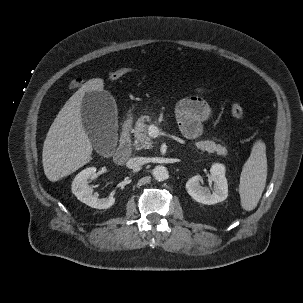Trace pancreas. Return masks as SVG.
<instances>
[{"label": "pancreas", "mask_w": 303, "mask_h": 303, "mask_svg": "<svg viewBox=\"0 0 303 303\" xmlns=\"http://www.w3.org/2000/svg\"><path fill=\"white\" fill-rule=\"evenodd\" d=\"M152 123V118L148 115L141 116L138 118L133 130L134 133V146L135 149H150L152 148L151 138L148 136V124ZM195 147L201 151H206L208 153H217L218 155L226 156L228 154L227 149L216 144L214 141L204 140L195 143Z\"/></svg>", "instance_id": "obj_1"}]
</instances>
